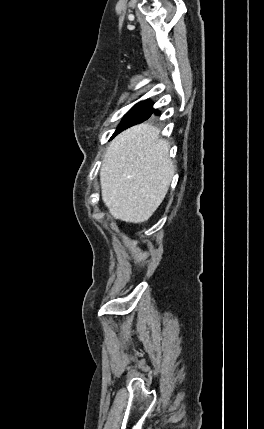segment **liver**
Returning <instances> with one entry per match:
<instances>
[{
	"mask_svg": "<svg viewBox=\"0 0 264 429\" xmlns=\"http://www.w3.org/2000/svg\"><path fill=\"white\" fill-rule=\"evenodd\" d=\"M160 130L142 123L113 139L100 170L102 200L110 214L130 223L147 221L164 200L175 173L170 145Z\"/></svg>",
	"mask_w": 264,
	"mask_h": 429,
	"instance_id": "obj_1",
	"label": "liver"
}]
</instances>
